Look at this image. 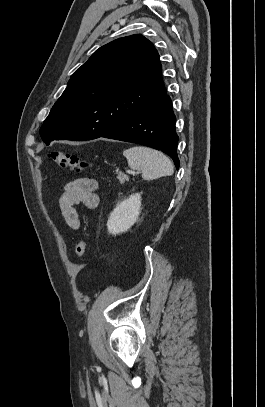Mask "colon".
<instances>
[{"mask_svg": "<svg viewBox=\"0 0 265 407\" xmlns=\"http://www.w3.org/2000/svg\"><path fill=\"white\" fill-rule=\"evenodd\" d=\"M49 158L58 166L69 168L81 172L90 166L89 161L81 159L79 156L63 150H53L49 153ZM88 248V240L81 238L75 248V255L82 260Z\"/></svg>", "mask_w": 265, "mask_h": 407, "instance_id": "1", "label": "colon"}]
</instances>
